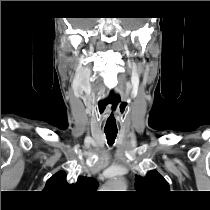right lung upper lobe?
<instances>
[{
	"mask_svg": "<svg viewBox=\"0 0 210 210\" xmlns=\"http://www.w3.org/2000/svg\"><path fill=\"white\" fill-rule=\"evenodd\" d=\"M97 181L94 178L79 177L75 183L66 181V174L60 171L48 179L44 188L45 192L60 199L69 198L82 190H95Z\"/></svg>",
	"mask_w": 210,
	"mask_h": 210,
	"instance_id": "right-lung-upper-lobe-1",
	"label": "right lung upper lobe"
}]
</instances>
